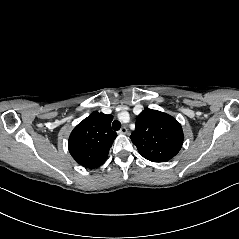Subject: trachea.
I'll use <instances>...</instances> for the list:
<instances>
[{"mask_svg":"<svg viewBox=\"0 0 239 239\" xmlns=\"http://www.w3.org/2000/svg\"><path fill=\"white\" fill-rule=\"evenodd\" d=\"M112 128L115 131H118L121 128V123L118 120H114L112 123Z\"/></svg>","mask_w":239,"mask_h":239,"instance_id":"obj_1","label":"trachea"}]
</instances>
